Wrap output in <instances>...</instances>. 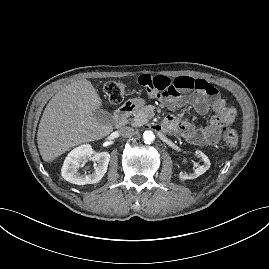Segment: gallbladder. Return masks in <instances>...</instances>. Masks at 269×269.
<instances>
[{"mask_svg":"<svg viewBox=\"0 0 269 269\" xmlns=\"http://www.w3.org/2000/svg\"><path fill=\"white\" fill-rule=\"evenodd\" d=\"M93 114L94 117L101 123L113 124V117L109 112L103 109H97L93 112Z\"/></svg>","mask_w":269,"mask_h":269,"instance_id":"1","label":"gallbladder"}]
</instances>
